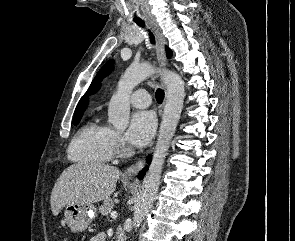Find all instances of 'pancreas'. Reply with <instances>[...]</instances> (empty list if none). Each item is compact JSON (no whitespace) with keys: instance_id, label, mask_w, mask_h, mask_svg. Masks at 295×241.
Masks as SVG:
<instances>
[{"instance_id":"cf45deb5","label":"pancreas","mask_w":295,"mask_h":241,"mask_svg":"<svg viewBox=\"0 0 295 241\" xmlns=\"http://www.w3.org/2000/svg\"><path fill=\"white\" fill-rule=\"evenodd\" d=\"M114 207V201L111 199L104 200L103 204L99 207V212L102 215H108L111 213Z\"/></svg>"}]
</instances>
